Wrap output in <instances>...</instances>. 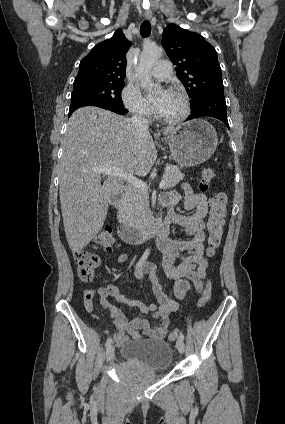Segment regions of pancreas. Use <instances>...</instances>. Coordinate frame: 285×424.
<instances>
[{
    "label": "pancreas",
    "instance_id": "pancreas-1",
    "mask_svg": "<svg viewBox=\"0 0 285 424\" xmlns=\"http://www.w3.org/2000/svg\"><path fill=\"white\" fill-rule=\"evenodd\" d=\"M164 189L174 187L183 179V174L175 165H167L164 174ZM149 213V196L147 192L132 187L127 190L121 201L119 218L130 226H138Z\"/></svg>",
    "mask_w": 285,
    "mask_h": 424
}]
</instances>
